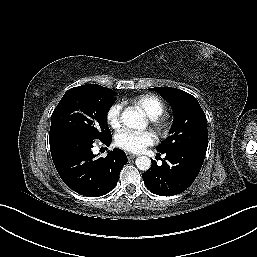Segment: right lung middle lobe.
<instances>
[{
    "label": "right lung middle lobe",
    "mask_w": 257,
    "mask_h": 257,
    "mask_svg": "<svg viewBox=\"0 0 257 257\" xmlns=\"http://www.w3.org/2000/svg\"><path fill=\"white\" fill-rule=\"evenodd\" d=\"M115 100L113 90L97 84L69 89L52 113L49 139L62 135L100 141L111 138L107 113Z\"/></svg>",
    "instance_id": "dd1d6c3e"
}]
</instances>
